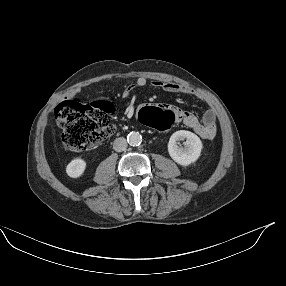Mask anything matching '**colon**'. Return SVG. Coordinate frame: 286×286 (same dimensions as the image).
I'll use <instances>...</instances> for the list:
<instances>
[{
	"mask_svg": "<svg viewBox=\"0 0 286 286\" xmlns=\"http://www.w3.org/2000/svg\"><path fill=\"white\" fill-rule=\"evenodd\" d=\"M114 105L107 100L83 104L75 99L60 102L55 109L57 125L62 130V144L80 152L95 146L113 135L115 126L110 122ZM139 123L154 132H171L173 114L164 108L146 107L138 116Z\"/></svg>",
	"mask_w": 286,
	"mask_h": 286,
	"instance_id": "5ec220e1",
	"label": "colon"
}]
</instances>
